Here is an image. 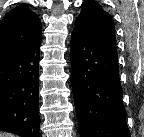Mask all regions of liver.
Returning <instances> with one entry per match:
<instances>
[{
    "instance_id": "6515ba94",
    "label": "liver",
    "mask_w": 144,
    "mask_h": 137,
    "mask_svg": "<svg viewBox=\"0 0 144 137\" xmlns=\"http://www.w3.org/2000/svg\"><path fill=\"white\" fill-rule=\"evenodd\" d=\"M0 137H14V136L10 133H1L0 132Z\"/></svg>"
}]
</instances>
